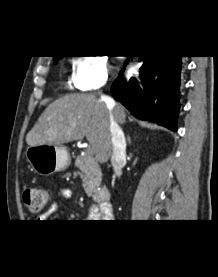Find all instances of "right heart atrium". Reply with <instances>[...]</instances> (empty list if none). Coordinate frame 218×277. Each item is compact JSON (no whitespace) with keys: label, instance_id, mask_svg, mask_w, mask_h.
<instances>
[{"label":"right heart atrium","instance_id":"1","mask_svg":"<svg viewBox=\"0 0 218 277\" xmlns=\"http://www.w3.org/2000/svg\"><path fill=\"white\" fill-rule=\"evenodd\" d=\"M108 80V63L104 55L87 53L79 56L73 64L68 84L78 91L99 89Z\"/></svg>","mask_w":218,"mask_h":277}]
</instances>
